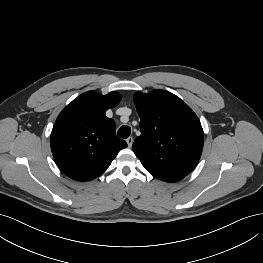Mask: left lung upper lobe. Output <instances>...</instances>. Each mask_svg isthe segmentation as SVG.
Masks as SVG:
<instances>
[{"label":"left lung upper lobe","mask_w":263,"mask_h":263,"mask_svg":"<svg viewBox=\"0 0 263 263\" xmlns=\"http://www.w3.org/2000/svg\"><path fill=\"white\" fill-rule=\"evenodd\" d=\"M134 103L140 116L141 135L132 150L154 177L167 169L188 175L197 165L204 133L196 114L176 95L156 89L137 92Z\"/></svg>","instance_id":"left-lung-upper-lobe-1"}]
</instances>
